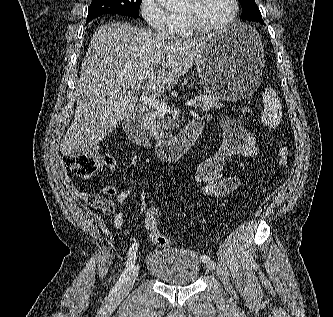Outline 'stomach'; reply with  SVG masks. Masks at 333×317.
Instances as JSON below:
<instances>
[{"label":"stomach","mask_w":333,"mask_h":317,"mask_svg":"<svg viewBox=\"0 0 333 317\" xmlns=\"http://www.w3.org/2000/svg\"><path fill=\"white\" fill-rule=\"evenodd\" d=\"M264 50L258 32L236 23L206 41L196 61L200 84L218 99L236 102L260 95Z\"/></svg>","instance_id":"0dacf381"}]
</instances>
